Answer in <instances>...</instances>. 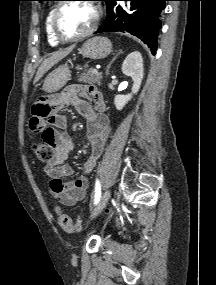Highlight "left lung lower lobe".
I'll return each mask as SVG.
<instances>
[{"mask_svg":"<svg viewBox=\"0 0 216 285\" xmlns=\"http://www.w3.org/2000/svg\"><path fill=\"white\" fill-rule=\"evenodd\" d=\"M117 1H124L118 4ZM168 0H110L108 15L95 33L129 32L144 41L155 54L161 11Z\"/></svg>","mask_w":216,"mask_h":285,"instance_id":"1","label":"left lung lower lobe"}]
</instances>
